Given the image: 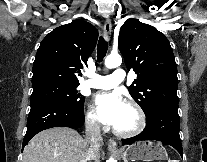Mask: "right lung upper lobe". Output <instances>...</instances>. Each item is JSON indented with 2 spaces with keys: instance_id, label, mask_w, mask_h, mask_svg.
<instances>
[{
  "instance_id": "cb5924a9",
  "label": "right lung upper lobe",
  "mask_w": 207,
  "mask_h": 162,
  "mask_svg": "<svg viewBox=\"0 0 207 162\" xmlns=\"http://www.w3.org/2000/svg\"><path fill=\"white\" fill-rule=\"evenodd\" d=\"M97 38V29L84 20H75L54 29L38 48L33 64L32 86H79L77 75L87 64Z\"/></svg>"
}]
</instances>
